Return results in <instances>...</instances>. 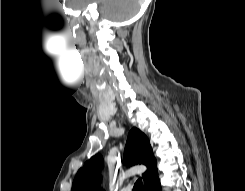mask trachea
Here are the masks:
<instances>
[{
  "instance_id": "1",
  "label": "trachea",
  "mask_w": 245,
  "mask_h": 191,
  "mask_svg": "<svg viewBox=\"0 0 245 191\" xmlns=\"http://www.w3.org/2000/svg\"><path fill=\"white\" fill-rule=\"evenodd\" d=\"M133 191H143V187H142V179L139 178L135 184H134V187H133Z\"/></svg>"
}]
</instances>
